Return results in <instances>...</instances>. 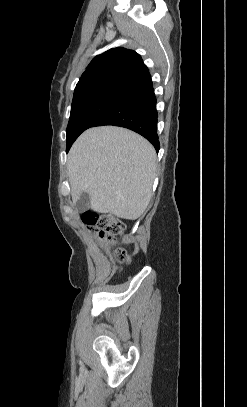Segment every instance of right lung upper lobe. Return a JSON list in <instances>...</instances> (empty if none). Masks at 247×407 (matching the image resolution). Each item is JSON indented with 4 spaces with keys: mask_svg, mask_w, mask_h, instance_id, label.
Returning <instances> with one entry per match:
<instances>
[{
    "mask_svg": "<svg viewBox=\"0 0 247 407\" xmlns=\"http://www.w3.org/2000/svg\"><path fill=\"white\" fill-rule=\"evenodd\" d=\"M152 85L142 58L133 50L115 48L95 57L82 74L73 101L100 90L123 87L139 91Z\"/></svg>",
    "mask_w": 247,
    "mask_h": 407,
    "instance_id": "right-lung-upper-lobe-1",
    "label": "right lung upper lobe"
}]
</instances>
